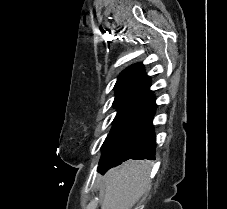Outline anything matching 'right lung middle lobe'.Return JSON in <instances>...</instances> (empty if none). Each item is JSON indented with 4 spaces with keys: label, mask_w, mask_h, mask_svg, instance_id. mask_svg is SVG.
<instances>
[{
    "label": "right lung middle lobe",
    "mask_w": 227,
    "mask_h": 209,
    "mask_svg": "<svg viewBox=\"0 0 227 209\" xmlns=\"http://www.w3.org/2000/svg\"><path fill=\"white\" fill-rule=\"evenodd\" d=\"M115 107L118 112L113 120L114 125L101 148L99 169L102 172L108 170L113 154L145 129L154 113L152 108L129 101L120 102Z\"/></svg>",
    "instance_id": "obj_1"
}]
</instances>
